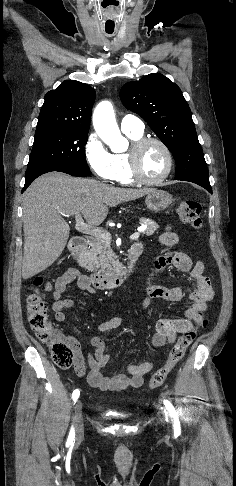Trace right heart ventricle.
I'll use <instances>...</instances> for the list:
<instances>
[{
    "label": "right heart ventricle",
    "mask_w": 236,
    "mask_h": 486,
    "mask_svg": "<svg viewBox=\"0 0 236 486\" xmlns=\"http://www.w3.org/2000/svg\"><path fill=\"white\" fill-rule=\"evenodd\" d=\"M133 142L142 138V134L125 133ZM115 172L113 180L122 185H132L135 183L131 177L127 153L113 154Z\"/></svg>",
    "instance_id": "1"
}]
</instances>
